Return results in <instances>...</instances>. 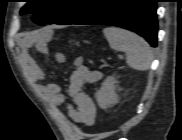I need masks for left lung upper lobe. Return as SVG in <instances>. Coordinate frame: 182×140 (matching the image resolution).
Masks as SVG:
<instances>
[{"mask_svg":"<svg viewBox=\"0 0 182 140\" xmlns=\"http://www.w3.org/2000/svg\"><path fill=\"white\" fill-rule=\"evenodd\" d=\"M101 0H27L20 14L34 13L33 20L44 24H71L89 11Z\"/></svg>","mask_w":182,"mask_h":140,"instance_id":"1","label":"left lung upper lobe"}]
</instances>
